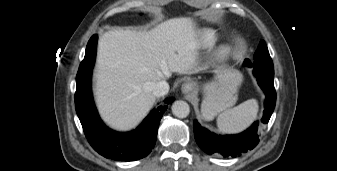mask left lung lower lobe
<instances>
[{"label":"left lung lower lobe","instance_id":"left-lung-lower-lobe-1","mask_svg":"<svg viewBox=\"0 0 337 171\" xmlns=\"http://www.w3.org/2000/svg\"><path fill=\"white\" fill-rule=\"evenodd\" d=\"M253 73L265 94V109L261 122L266 124L276 103V91L273 83L274 71L254 67ZM257 129L258 121L241 134L218 136L201 127L196 120L194 121V134L199 147L209 155L214 154L225 158L238 157L252 150L259 142Z\"/></svg>","mask_w":337,"mask_h":171}]
</instances>
